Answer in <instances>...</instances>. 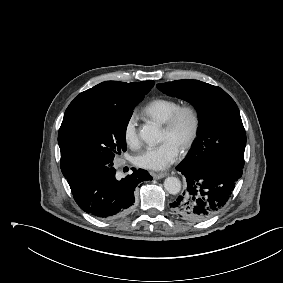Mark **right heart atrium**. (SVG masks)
Here are the masks:
<instances>
[{"label":"right heart atrium","instance_id":"right-heart-atrium-1","mask_svg":"<svg viewBox=\"0 0 283 283\" xmlns=\"http://www.w3.org/2000/svg\"><path fill=\"white\" fill-rule=\"evenodd\" d=\"M123 136L126 144L132 148L140 144V135L138 130V121L135 114L128 117L123 129Z\"/></svg>","mask_w":283,"mask_h":283}]
</instances>
